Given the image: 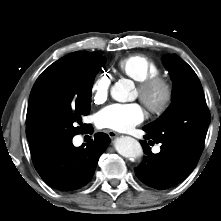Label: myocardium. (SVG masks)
I'll list each match as a JSON object with an SVG mask.
<instances>
[{"label": "myocardium", "mask_w": 221, "mask_h": 221, "mask_svg": "<svg viewBox=\"0 0 221 221\" xmlns=\"http://www.w3.org/2000/svg\"><path fill=\"white\" fill-rule=\"evenodd\" d=\"M139 97L147 110L154 115L167 111L173 99V87L168 78L157 74L150 76L138 84ZM159 97L156 98V95Z\"/></svg>", "instance_id": "f54148a6"}]
</instances>
